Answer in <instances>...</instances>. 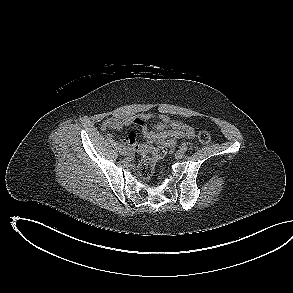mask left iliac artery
Returning <instances> with one entry per match:
<instances>
[{
	"label": "left iliac artery",
	"mask_w": 293,
	"mask_h": 293,
	"mask_svg": "<svg viewBox=\"0 0 293 293\" xmlns=\"http://www.w3.org/2000/svg\"><path fill=\"white\" fill-rule=\"evenodd\" d=\"M180 149L185 152L187 150L186 144H181Z\"/></svg>",
	"instance_id": "left-iliac-artery-1"
}]
</instances>
